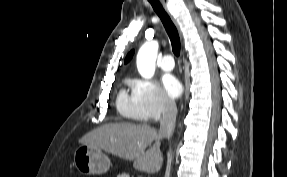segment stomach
Instances as JSON below:
<instances>
[{"mask_svg": "<svg viewBox=\"0 0 287 177\" xmlns=\"http://www.w3.org/2000/svg\"><path fill=\"white\" fill-rule=\"evenodd\" d=\"M74 165L84 175L104 174L110 168V159L101 149L82 144L74 153Z\"/></svg>", "mask_w": 287, "mask_h": 177, "instance_id": "0dacf381", "label": "stomach"}]
</instances>
